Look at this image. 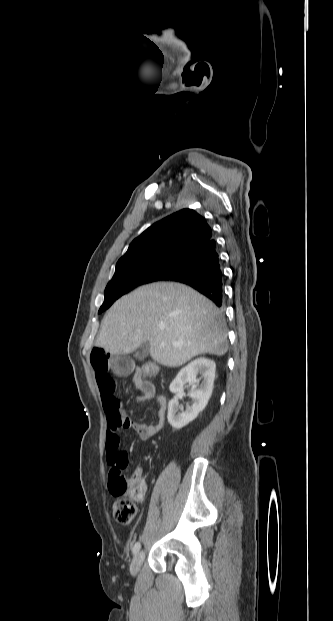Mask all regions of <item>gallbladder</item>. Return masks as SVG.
Masks as SVG:
<instances>
[{
	"label": "gallbladder",
	"instance_id": "bac80fb5",
	"mask_svg": "<svg viewBox=\"0 0 333 621\" xmlns=\"http://www.w3.org/2000/svg\"><path fill=\"white\" fill-rule=\"evenodd\" d=\"M150 351V345L149 342H144L143 344L140 345V347L135 351L134 357L138 360H143L145 359Z\"/></svg>",
	"mask_w": 333,
	"mask_h": 621
}]
</instances>
